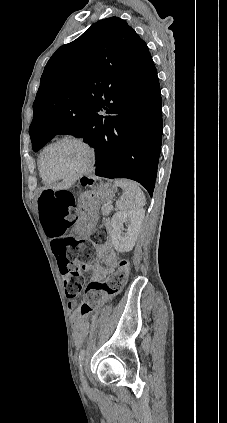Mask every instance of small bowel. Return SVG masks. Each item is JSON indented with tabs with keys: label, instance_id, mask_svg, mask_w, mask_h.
I'll use <instances>...</instances> for the list:
<instances>
[{
	"label": "small bowel",
	"instance_id": "small-bowel-1",
	"mask_svg": "<svg viewBox=\"0 0 227 423\" xmlns=\"http://www.w3.org/2000/svg\"><path fill=\"white\" fill-rule=\"evenodd\" d=\"M57 238H51V246L54 251L53 245ZM100 258L104 262L105 266L99 264L92 265L91 268V282H100L107 275L114 272L117 267V257L112 251L111 245L105 243L99 246ZM69 309L76 307V301L70 300L68 302ZM96 319V315L89 318L87 315H82L80 312H74L71 316V322L75 331V342L77 345H81L89 333L91 323Z\"/></svg>",
	"mask_w": 227,
	"mask_h": 423
}]
</instances>
